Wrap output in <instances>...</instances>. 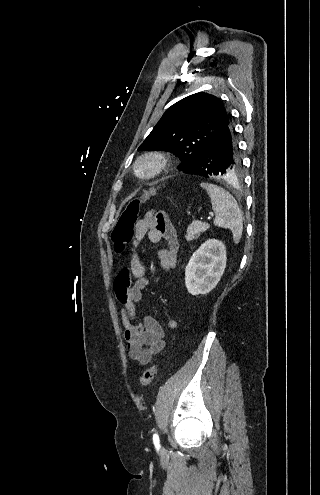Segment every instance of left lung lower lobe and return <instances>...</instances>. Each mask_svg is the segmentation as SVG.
Listing matches in <instances>:
<instances>
[{
	"label": "left lung lower lobe",
	"mask_w": 320,
	"mask_h": 495,
	"mask_svg": "<svg viewBox=\"0 0 320 495\" xmlns=\"http://www.w3.org/2000/svg\"><path fill=\"white\" fill-rule=\"evenodd\" d=\"M241 159L230 120L198 154L194 164L183 172L203 177L217 176L228 178L236 175Z\"/></svg>",
	"instance_id": "1"
}]
</instances>
